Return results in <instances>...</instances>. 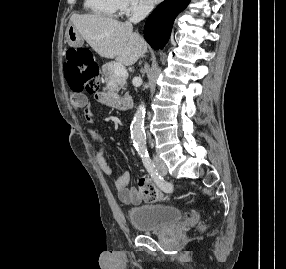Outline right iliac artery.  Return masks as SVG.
I'll use <instances>...</instances> for the list:
<instances>
[{"label": "right iliac artery", "instance_id": "obj_1", "mask_svg": "<svg viewBox=\"0 0 286 269\" xmlns=\"http://www.w3.org/2000/svg\"><path fill=\"white\" fill-rule=\"evenodd\" d=\"M143 164L145 168L147 169V171L149 172V174L151 175L154 182L160 188L167 187L168 184L165 182L163 177H161V175L157 172V169L155 168V165L150 158H144Z\"/></svg>", "mask_w": 286, "mask_h": 269}]
</instances>
